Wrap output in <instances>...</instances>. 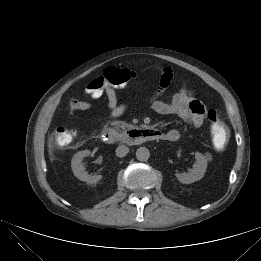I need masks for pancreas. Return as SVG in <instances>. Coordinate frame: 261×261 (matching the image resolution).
<instances>
[{
    "instance_id": "obj_1",
    "label": "pancreas",
    "mask_w": 261,
    "mask_h": 261,
    "mask_svg": "<svg viewBox=\"0 0 261 261\" xmlns=\"http://www.w3.org/2000/svg\"><path fill=\"white\" fill-rule=\"evenodd\" d=\"M112 125L118 130V131H126L131 125L126 123L125 121H114L112 122Z\"/></svg>"
}]
</instances>
